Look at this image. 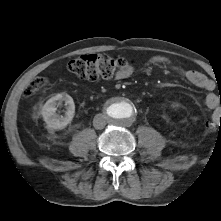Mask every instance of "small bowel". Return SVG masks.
<instances>
[{
  "mask_svg": "<svg viewBox=\"0 0 221 221\" xmlns=\"http://www.w3.org/2000/svg\"><path fill=\"white\" fill-rule=\"evenodd\" d=\"M154 63H163L164 59L156 57L153 59ZM133 73V68L128 66L116 75V79H126ZM179 73L194 86L208 92L204 98V105L209 109H215L220 103V98L213 92L215 83L213 80L196 70H180Z\"/></svg>",
  "mask_w": 221,
  "mask_h": 221,
  "instance_id": "1",
  "label": "small bowel"
}]
</instances>
